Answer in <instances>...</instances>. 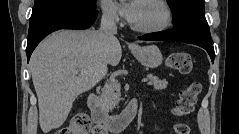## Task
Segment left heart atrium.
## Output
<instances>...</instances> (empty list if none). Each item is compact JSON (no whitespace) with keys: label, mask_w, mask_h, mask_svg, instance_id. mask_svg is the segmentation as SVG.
Segmentation results:
<instances>
[{"label":"left heart atrium","mask_w":239,"mask_h":134,"mask_svg":"<svg viewBox=\"0 0 239 134\" xmlns=\"http://www.w3.org/2000/svg\"><path fill=\"white\" fill-rule=\"evenodd\" d=\"M137 11V1H128L122 5V13L128 21H132Z\"/></svg>","instance_id":"39dd6f15"}]
</instances>
